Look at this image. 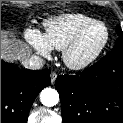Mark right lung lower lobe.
I'll list each match as a JSON object with an SVG mask.
<instances>
[{"mask_svg": "<svg viewBox=\"0 0 123 123\" xmlns=\"http://www.w3.org/2000/svg\"><path fill=\"white\" fill-rule=\"evenodd\" d=\"M49 84L50 70H21L1 61V123H27L36 96Z\"/></svg>", "mask_w": 123, "mask_h": 123, "instance_id": "obj_1", "label": "right lung lower lobe"}]
</instances>
